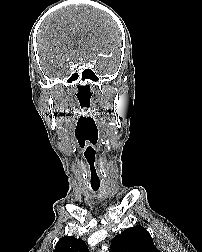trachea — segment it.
<instances>
[{
  "mask_svg": "<svg viewBox=\"0 0 202 252\" xmlns=\"http://www.w3.org/2000/svg\"><path fill=\"white\" fill-rule=\"evenodd\" d=\"M92 189H93L94 191H97V190L99 189V187H92Z\"/></svg>",
  "mask_w": 202,
  "mask_h": 252,
  "instance_id": "3493384b",
  "label": "trachea"
}]
</instances>
